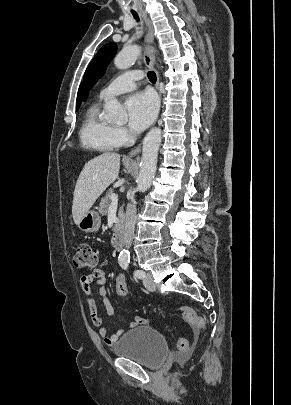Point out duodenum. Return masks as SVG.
Returning <instances> with one entry per match:
<instances>
[{
  "mask_svg": "<svg viewBox=\"0 0 291 405\" xmlns=\"http://www.w3.org/2000/svg\"><path fill=\"white\" fill-rule=\"evenodd\" d=\"M122 240H123V232L121 229H118L112 239V246L116 249L119 250L122 246Z\"/></svg>",
  "mask_w": 291,
  "mask_h": 405,
  "instance_id": "410a0bca",
  "label": "duodenum"
}]
</instances>
